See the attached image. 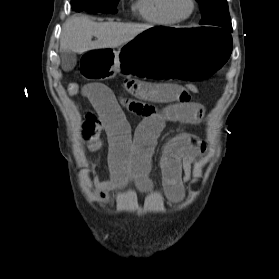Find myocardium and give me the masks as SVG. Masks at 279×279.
Here are the masks:
<instances>
[{"instance_id":"f54148a6","label":"myocardium","mask_w":279,"mask_h":279,"mask_svg":"<svg viewBox=\"0 0 279 279\" xmlns=\"http://www.w3.org/2000/svg\"><path fill=\"white\" fill-rule=\"evenodd\" d=\"M190 3H191V9H190L189 13L184 16L177 15L173 11L172 5H171V0H164V8H165V11L168 13V15L170 17H172L174 20L184 21V20H187L188 18H190L196 10V7H197L196 0H190Z\"/></svg>"}]
</instances>
